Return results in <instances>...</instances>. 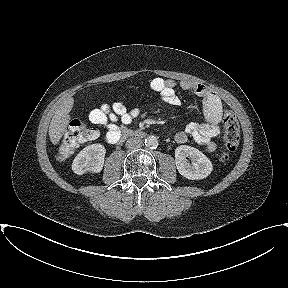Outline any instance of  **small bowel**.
I'll return each instance as SVG.
<instances>
[{"instance_id": "small-bowel-1", "label": "small bowel", "mask_w": 288, "mask_h": 288, "mask_svg": "<svg viewBox=\"0 0 288 288\" xmlns=\"http://www.w3.org/2000/svg\"><path fill=\"white\" fill-rule=\"evenodd\" d=\"M178 85L181 89L201 98L206 122H190L184 130L175 135V141L182 144L189 137H192L198 144L203 145L208 152H213L216 149L213 138L220 132V122L224 113L221 99L208 87L199 83L182 80ZM150 87L160 95L165 103L171 106L181 104V99L176 92L177 83L174 80L156 77L151 81ZM139 114L140 109L138 107L129 110L124 100H117L92 110L89 113V120L106 130L105 139L109 143H116L126 130L125 127H120L119 123L128 125Z\"/></svg>"}]
</instances>
